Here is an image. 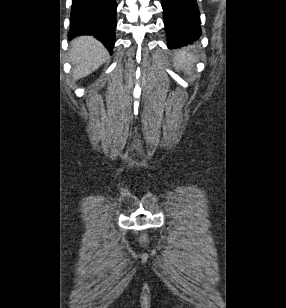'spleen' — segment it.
<instances>
[{
    "label": "spleen",
    "mask_w": 286,
    "mask_h": 308,
    "mask_svg": "<svg viewBox=\"0 0 286 308\" xmlns=\"http://www.w3.org/2000/svg\"><path fill=\"white\" fill-rule=\"evenodd\" d=\"M195 61L196 57L186 50L177 52L174 57L176 67L186 71L191 70Z\"/></svg>",
    "instance_id": "3e777b00"
}]
</instances>
